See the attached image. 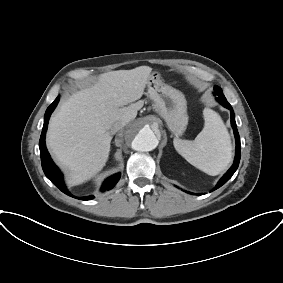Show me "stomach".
I'll list each match as a JSON object with an SVG mask.
<instances>
[{
  "label": "stomach",
  "mask_w": 283,
  "mask_h": 283,
  "mask_svg": "<svg viewBox=\"0 0 283 283\" xmlns=\"http://www.w3.org/2000/svg\"><path fill=\"white\" fill-rule=\"evenodd\" d=\"M147 84L155 111L175 135L181 134L188 124L187 102L183 93L165 84L158 73L151 74Z\"/></svg>",
  "instance_id": "obj_1"
}]
</instances>
